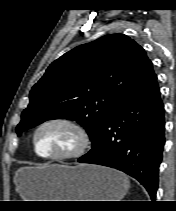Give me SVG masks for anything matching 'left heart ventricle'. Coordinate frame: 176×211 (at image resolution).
<instances>
[{
	"mask_svg": "<svg viewBox=\"0 0 176 211\" xmlns=\"http://www.w3.org/2000/svg\"><path fill=\"white\" fill-rule=\"evenodd\" d=\"M36 143L38 152L42 155H56L73 151L77 140L67 127L51 125L39 132Z\"/></svg>",
	"mask_w": 176,
	"mask_h": 211,
	"instance_id": "obj_1",
	"label": "left heart ventricle"
}]
</instances>
